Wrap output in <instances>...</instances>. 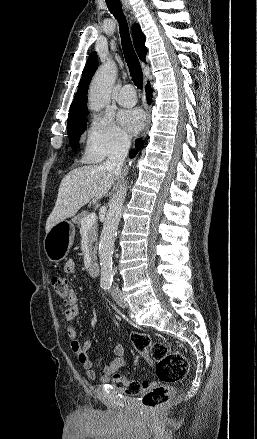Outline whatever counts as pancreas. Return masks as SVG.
<instances>
[{
	"mask_svg": "<svg viewBox=\"0 0 257 439\" xmlns=\"http://www.w3.org/2000/svg\"><path fill=\"white\" fill-rule=\"evenodd\" d=\"M89 215H90L89 212L83 211L77 216H75L74 218H72V222L77 224V226L80 228L81 221ZM88 235H89L90 250H93L95 252V247H93V243L97 242V236H98L96 223H94L93 226L89 229Z\"/></svg>",
	"mask_w": 257,
	"mask_h": 439,
	"instance_id": "1",
	"label": "pancreas"
}]
</instances>
